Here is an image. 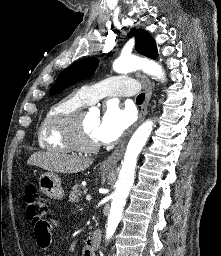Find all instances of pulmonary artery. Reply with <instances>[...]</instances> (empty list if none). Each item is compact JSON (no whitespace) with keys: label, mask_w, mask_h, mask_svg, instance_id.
I'll return each mask as SVG.
<instances>
[{"label":"pulmonary artery","mask_w":221,"mask_h":256,"mask_svg":"<svg viewBox=\"0 0 221 256\" xmlns=\"http://www.w3.org/2000/svg\"><path fill=\"white\" fill-rule=\"evenodd\" d=\"M137 91V82L122 76L107 78L80 89V93L89 104H93L106 96H133Z\"/></svg>","instance_id":"pulmonary-artery-1"}]
</instances>
